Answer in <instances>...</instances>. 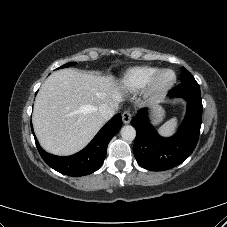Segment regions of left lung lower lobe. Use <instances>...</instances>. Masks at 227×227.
<instances>
[{"mask_svg":"<svg viewBox=\"0 0 227 227\" xmlns=\"http://www.w3.org/2000/svg\"><path fill=\"white\" fill-rule=\"evenodd\" d=\"M169 96L187 101L185 119L174 136L161 137L149 123L146 109L139 110L131 120L136 129L134 156L143 168L151 171H164L181 164L192 154L200 134L203 106L196 80L181 81Z\"/></svg>","mask_w":227,"mask_h":227,"instance_id":"obj_1","label":"left lung lower lobe"}]
</instances>
